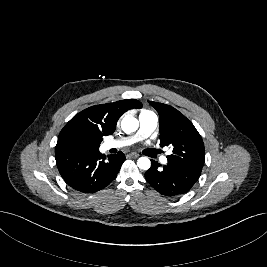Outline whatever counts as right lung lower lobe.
Segmentation results:
<instances>
[{"instance_id": "obj_1", "label": "right lung lower lobe", "mask_w": 267, "mask_h": 267, "mask_svg": "<svg viewBox=\"0 0 267 267\" xmlns=\"http://www.w3.org/2000/svg\"><path fill=\"white\" fill-rule=\"evenodd\" d=\"M56 164L64 181L83 193H94L109 185L117 176L125 155L106 156L99 150L87 153L56 154Z\"/></svg>"}]
</instances>
